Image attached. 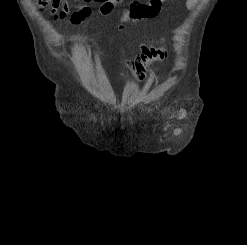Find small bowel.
<instances>
[{
    "label": "small bowel",
    "instance_id": "small-bowel-1",
    "mask_svg": "<svg viewBox=\"0 0 247 245\" xmlns=\"http://www.w3.org/2000/svg\"><path fill=\"white\" fill-rule=\"evenodd\" d=\"M93 0H75L77 10L70 14L68 0H52V13L55 18L63 19L69 16L71 23H82L91 13L89 4ZM165 0H149L148 3L142 4L134 2L126 11L125 18L128 20H140L155 17ZM199 0H187L186 4L189 9H194Z\"/></svg>",
    "mask_w": 247,
    "mask_h": 245
}]
</instances>
